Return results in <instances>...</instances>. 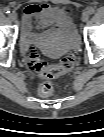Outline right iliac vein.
I'll return each instance as SVG.
<instances>
[{"instance_id":"1","label":"right iliac vein","mask_w":104,"mask_h":137,"mask_svg":"<svg viewBox=\"0 0 104 137\" xmlns=\"http://www.w3.org/2000/svg\"><path fill=\"white\" fill-rule=\"evenodd\" d=\"M9 18H10V20H12V21H16L17 20V18H18V15H17V13L16 12H11L10 14H9Z\"/></svg>"}]
</instances>
